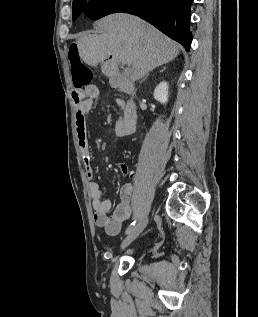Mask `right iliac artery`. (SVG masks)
Listing matches in <instances>:
<instances>
[{
    "mask_svg": "<svg viewBox=\"0 0 258 317\" xmlns=\"http://www.w3.org/2000/svg\"><path fill=\"white\" fill-rule=\"evenodd\" d=\"M135 224H136V220H134L129 226H128V228L126 229V234H128L133 228H134V226H135Z\"/></svg>",
    "mask_w": 258,
    "mask_h": 317,
    "instance_id": "right-iliac-artery-1",
    "label": "right iliac artery"
}]
</instances>
